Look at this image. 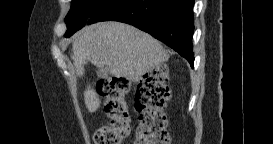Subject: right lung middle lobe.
I'll use <instances>...</instances> for the list:
<instances>
[{"label":"right lung middle lobe","instance_id":"dd1d6c3e","mask_svg":"<svg viewBox=\"0 0 273 144\" xmlns=\"http://www.w3.org/2000/svg\"><path fill=\"white\" fill-rule=\"evenodd\" d=\"M110 0H72L71 9L65 19L67 32L65 37L71 36L82 28L85 23Z\"/></svg>","mask_w":273,"mask_h":144}]
</instances>
